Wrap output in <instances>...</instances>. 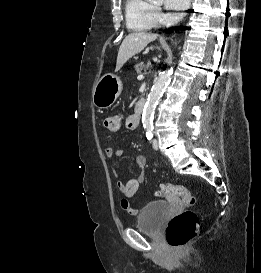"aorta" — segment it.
<instances>
[{"instance_id": "obj_1", "label": "aorta", "mask_w": 261, "mask_h": 273, "mask_svg": "<svg viewBox=\"0 0 261 273\" xmlns=\"http://www.w3.org/2000/svg\"><path fill=\"white\" fill-rule=\"evenodd\" d=\"M153 2H161L162 0H151ZM172 75V69H168L161 73L159 78L154 82L151 92L148 95L147 101L145 103L143 114H142V123L143 127L146 130H151L153 128V118L156 105L162 96L165 88L170 82Z\"/></svg>"}]
</instances>
